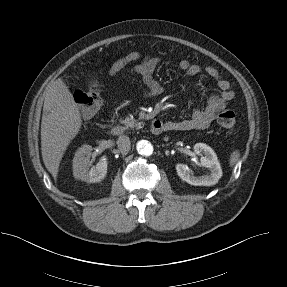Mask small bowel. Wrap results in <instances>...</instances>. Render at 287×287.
Wrapping results in <instances>:
<instances>
[{
    "instance_id": "small-bowel-1",
    "label": "small bowel",
    "mask_w": 287,
    "mask_h": 287,
    "mask_svg": "<svg viewBox=\"0 0 287 287\" xmlns=\"http://www.w3.org/2000/svg\"><path fill=\"white\" fill-rule=\"evenodd\" d=\"M160 62L159 57L132 51L116 60L110 67L108 75L115 76L128 65L134 64L131 72L142 78L146 86L145 95L156 97L163 92L162 86L154 78V72ZM178 66L189 76H197L203 73L208 75L216 82L218 91L208 98L204 108L195 109L190 117L178 121L164 122L165 130L185 131L207 128L214 120L217 112L226 107L228 102L233 99L234 93L230 88V83L221 77L217 69L211 66L202 68L200 65L191 63L186 59L180 60Z\"/></svg>"
}]
</instances>
